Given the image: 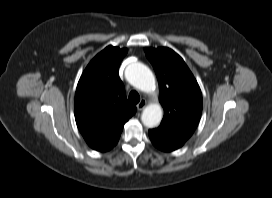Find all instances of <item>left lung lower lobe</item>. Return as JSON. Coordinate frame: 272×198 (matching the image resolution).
Listing matches in <instances>:
<instances>
[{"label": "left lung lower lobe", "instance_id": "0a47b994", "mask_svg": "<svg viewBox=\"0 0 272 198\" xmlns=\"http://www.w3.org/2000/svg\"><path fill=\"white\" fill-rule=\"evenodd\" d=\"M149 136L155 147L170 152L180 148L191 135L160 124L158 128L149 130Z\"/></svg>", "mask_w": 272, "mask_h": 198}]
</instances>
